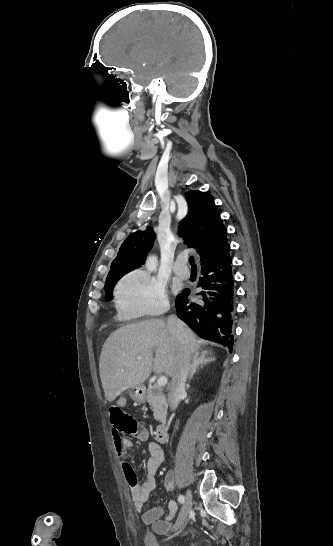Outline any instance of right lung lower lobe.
I'll list each match as a JSON object with an SVG mask.
<instances>
[{
    "instance_id": "1",
    "label": "right lung lower lobe",
    "mask_w": 333,
    "mask_h": 546,
    "mask_svg": "<svg viewBox=\"0 0 333 546\" xmlns=\"http://www.w3.org/2000/svg\"><path fill=\"white\" fill-rule=\"evenodd\" d=\"M229 244L208 262L201 263L200 301L189 302V290L177 296V316L200 337L233 347L234 278Z\"/></svg>"
}]
</instances>
